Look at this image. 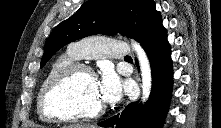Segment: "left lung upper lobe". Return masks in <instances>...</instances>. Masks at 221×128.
<instances>
[{
    "mask_svg": "<svg viewBox=\"0 0 221 128\" xmlns=\"http://www.w3.org/2000/svg\"><path fill=\"white\" fill-rule=\"evenodd\" d=\"M160 19L153 0H89L54 28L41 67L66 44L90 35L120 33L142 44Z\"/></svg>",
    "mask_w": 221,
    "mask_h": 128,
    "instance_id": "1",
    "label": "left lung upper lobe"
}]
</instances>
